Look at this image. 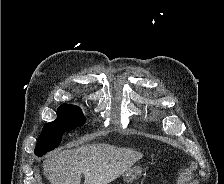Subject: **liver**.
<instances>
[{
  "label": "liver",
  "instance_id": "obj_1",
  "mask_svg": "<svg viewBox=\"0 0 224 184\" xmlns=\"http://www.w3.org/2000/svg\"><path fill=\"white\" fill-rule=\"evenodd\" d=\"M143 157L132 149L108 144H87L74 149H58L43 164L44 175L52 184H108Z\"/></svg>",
  "mask_w": 224,
  "mask_h": 184
}]
</instances>
